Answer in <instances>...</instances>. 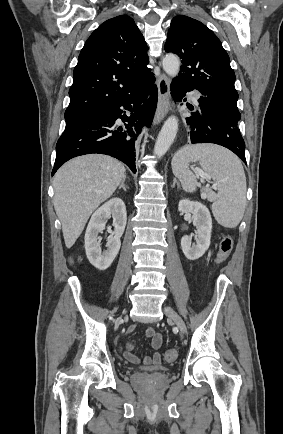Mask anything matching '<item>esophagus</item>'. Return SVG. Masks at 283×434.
Returning <instances> with one entry per match:
<instances>
[{
    "label": "esophagus",
    "instance_id": "1",
    "mask_svg": "<svg viewBox=\"0 0 283 434\" xmlns=\"http://www.w3.org/2000/svg\"><path fill=\"white\" fill-rule=\"evenodd\" d=\"M158 92L159 98L154 118L155 124L161 122L171 109L170 80L165 75H161L158 80Z\"/></svg>",
    "mask_w": 283,
    "mask_h": 434
}]
</instances>
